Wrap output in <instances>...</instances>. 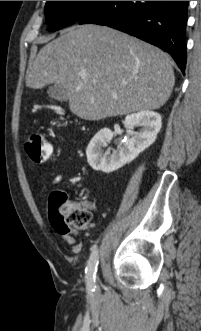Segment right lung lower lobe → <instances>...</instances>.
<instances>
[{
  "label": "right lung lower lobe",
  "instance_id": "98d812e1",
  "mask_svg": "<svg viewBox=\"0 0 201 331\" xmlns=\"http://www.w3.org/2000/svg\"><path fill=\"white\" fill-rule=\"evenodd\" d=\"M188 1H105L78 24H99L126 32L165 50L184 73Z\"/></svg>",
  "mask_w": 201,
  "mask_h": 331
}]
</instances>
